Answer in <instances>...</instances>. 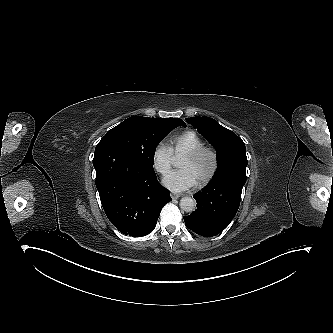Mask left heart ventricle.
<instances>
[{
	"label": "left heart ventricle",
	"instance_id": "1",
	"mask_svg": "<svg viewBox=\"0 0 333 333\" xmlns=\"http://www.w3.org/2000/svg\"><path fill=\"white\" fill-rule=\"evenodd\" d=\"M183 166L193 178H196L207 170L209 166V158L207 156H203L196 162L185 163Z\"/></svg>",
	"mask_w": 333,
	"mask_h": 333
}]
</instances>
